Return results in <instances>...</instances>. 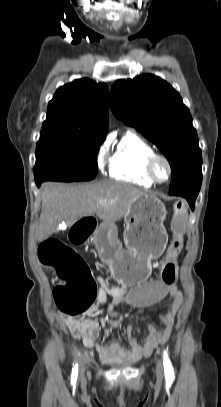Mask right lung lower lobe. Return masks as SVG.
I'll return each instance as SVG.
<instances>
[{
  "label": "right lung lower lobe",
  "mask_w": 221,
  "mask_h": 407,
  "mask_svg": "<svg viewBox=\"0 0 221 407\" xmlns=\"http://www.w3.org/2000/svg\"><path fill=\"white\" fill-rule=\"evenodd\" d=\"M35 182H36V185L39 187L40 185H41V183H42V181L41 180H35Z\"/></svg>",
  "instance_id": "98d812e1"
}]
</instances>
